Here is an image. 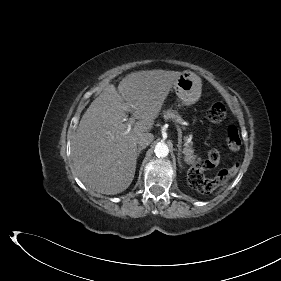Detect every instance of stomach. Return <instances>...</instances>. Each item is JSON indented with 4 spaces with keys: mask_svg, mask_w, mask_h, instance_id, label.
Here are the masks:
<instances>
[{
    "mask_svg": "<svg viewBox=\"0 0 281 281\" xmlns=\"http://www.w3.org/2000/svg\"><path fill=\"white\" fill-rule=\"evenodd\" d=\"M202 81L191 71H184L174 83L176 95L183 105L195 103L201 96Z\"/></svg>",
    "mask_w": 281,
    "mask_h": 281,
    "instance_id": "stomach-1",
    "label": "stomach"
}]
</instances>
